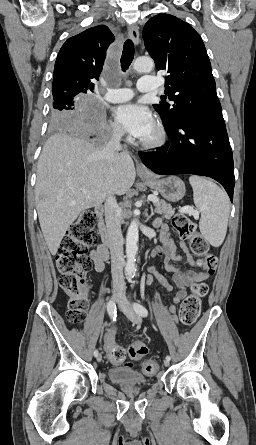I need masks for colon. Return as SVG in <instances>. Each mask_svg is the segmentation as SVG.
Instances as JSON below:
<instances>
[{"mask_svg": "<svg viewBox=\"0 0 256 445\" xmlns=\"http://www.w3.org/2000/svg\"><path fill=\"white\" fill-rule=\"evenodd\" d=\"M96 212L93 209L83 211L69 227L62 239L57 255L56 264L59 271L58 283L68 298L67 318L74 323L80 322L87 308V279L91 269V262L86 256L88 249L96 241L95 225ZM174 231L183 239L189 240L191 252L199 258V265L203 269L205 278L209 279L215 272L217 257L210 251L208 242L199 233L196 224L184 214H176L172 219ZM208 293L206 281H200L192 286V292L183 300L179 309V320L183 325H191L197 319L201 299ZM143 343H133L128 348L131 359L139 360L147 354ZM108 357L113 363H122L125 350L114 344L107 349ZM158 370L154 361L143 364V373L153 376Z\"/></svg>", "mask_w": 256, "mask_h": 445, "instance_id": "5ec220e1", "label": "colon"}]
</instances>
